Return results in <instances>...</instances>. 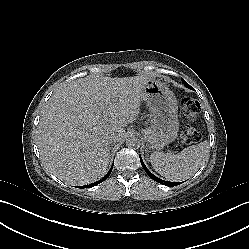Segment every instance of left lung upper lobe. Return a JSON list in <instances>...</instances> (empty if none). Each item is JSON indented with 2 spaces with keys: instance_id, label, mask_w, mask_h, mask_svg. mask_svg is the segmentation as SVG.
<instances>
[{
  "instance_id": "obj_1",
  "label": "left lung upper lobe",
  "mask_w": 249,
  "mask_h": 249,
  "mask_svg": "<svg viewBox=\"0 0 249 249\" xmlns=\"http://www.w3.org/2000/svg\"><path fill=\"white\" fill-rule=\"evenodd\" d=\"M185 86H187L188 88H190V85L187 82H183Z\"/></svg>"
}]
</instances>
